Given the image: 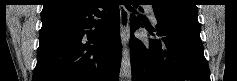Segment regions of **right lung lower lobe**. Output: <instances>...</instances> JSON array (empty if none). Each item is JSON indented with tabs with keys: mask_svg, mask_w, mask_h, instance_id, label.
<instances>
[{
	"mask_svg": "<svg viewBox=\"0 0 237 81\" xmlns=\"http://www.w3.org/2000/svg\"><path fill=\"white\" fill-rule=\"evenodd\" d=\"M39 39L32 81H118L120 13L113 1L88 0L79 11L42 19Z\"/></svg>",
	"mask_w": 237,
	"mask_h": 81,
	"instance_id": "obj_1",
	"label": "right lung lower lobe"
}]
</instances>
